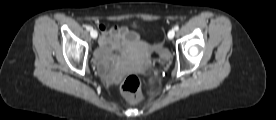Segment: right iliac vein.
Listing matches in <instances>:
<instances>
[{
	"instance_id": "63e3f726",
	"label": "right iliac vein",
	"mask_w": 276,
	"mask_h": 120,
	"mask_svg": "<svg viewBox=\"0 0 276 120\" xmlns=\"http://www.w3.org/2000/svg\"><path fill=\"white\" fill-rule=\"evenodd\" d=\"M90 35H91L92 38H96L97 35H98V33H97L96 30L92 29V30L90 31Z\"/></svg>"
}]
</instances>
